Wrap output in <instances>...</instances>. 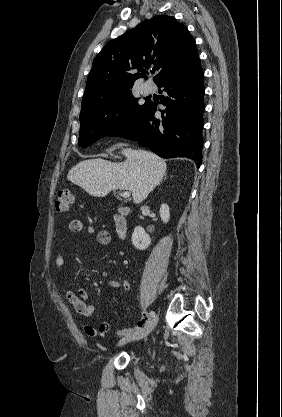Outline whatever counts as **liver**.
Listing matches in <instances>:
<instances>
[{
	"label": "liver",
	"instance_id": "1",
	"mask_svg": "<svg viewBox=\"0 0 282 417\" xmlns=\"http://www.w3.org/2000/svg\"><path fill=\"white\" fill-rule=\"evenodd\" d=\"M124 162H111L104 158L81 160L72 166L68 180L82 186L92 196H106L110 190H130L133 202H142L166 174L163 158L149 150L122 148Z\"/></svg>",
	"mask_w": 282,
	"mask_h": 417
}]
</instances>
